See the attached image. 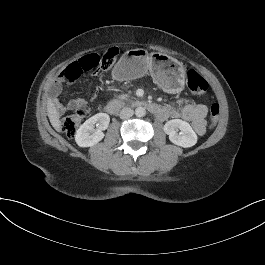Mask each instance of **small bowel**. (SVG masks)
Here are the masks:
<instances>
[{"label":"small bowel","instance_id":"obj_1","mask_svg":"<svg viewBox=\"0 0 265 265\" xmlns=\"http://www.w3.org/2000/svg\"><path fill=\"white\" fill-rule=\"evenodd\" d=\"M61 91V86L59 83H54L50 88V95L53 102L56 104L55 112L56 114H62L66 111L73 110L82 107L86 104V100L82 97H76L69 100L66 104H61L58 102V96ZM164 114L159 117L161 120H166L169 118L182 119L184 121L190 122L194 131L198 135H203L206 131V121L205 118L208 113V108L205 104H193L187 103L182 107L176 105H171L170 107H163Z\"/></svg>","mask_w":265,"mask_h":265}]
</instances>
